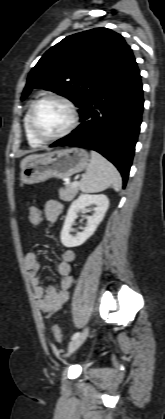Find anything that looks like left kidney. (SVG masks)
I'll return each mask as SVG.
<instances>
[{"instance_id": "left-kidney-1", "label": "left kidney", "mask_w": 165, "mask_h": 419, "mask_svg": "<svg viewBox=\"0 0 165 419\" xmlns=\"http://www.w3.org/2000/svg\"><path fill=\"white\" fill-rule=\"evenodd\" d=\"M90 205H95L92 216L87 217V226L82 232L72 236V225L77 218L79 211L84 210ZM109 207V199L104 194H81L70 206L62 231L61 242L65 247H76L82 245L90 238L103 220Z\"/></svg>"}]
</instances>
